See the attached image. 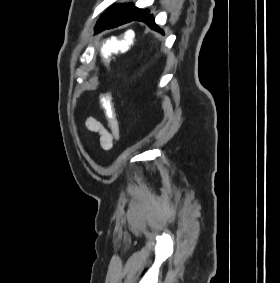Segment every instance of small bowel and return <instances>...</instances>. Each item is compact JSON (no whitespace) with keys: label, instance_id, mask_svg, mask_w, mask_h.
Segmentation results:
<instances>
[{"label":"small bowel","instance_id":"small-bowel-1","mask_svg":"<svg viewBox=\"0 0 280 283\" xmlns=\"http://www.w3.org/2000/svg\"><path fill=\"white\" fill-rule=\"evenodd\" d=\"M86 127L89 131L96 133L99 136L100 145L104 150L112 148L114 140L117 138L114 135L113 126L110 122H108V128H106L98 119L88 117L86 120Z\"/></svg>","mask_w":280,"mask_h":283}]
</instances>
